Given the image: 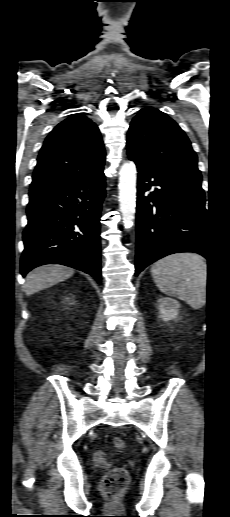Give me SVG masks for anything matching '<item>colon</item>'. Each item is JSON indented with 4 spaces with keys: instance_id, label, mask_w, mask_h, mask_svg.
Wrapping results in <instances>:
<instances>
[{
    "instance_id": "5ec220e1",
    "label": "colon",
    "mask_w": 230,
    "mask_h": 517,
    "mask_svg": "<svg viewBox=\"0 0 230 517\" xmlns=\"http://www.w3.org/2000/svg\"><path fill=\"white\" fill-rule=\"evenodd\" d=\"M113 446L118 450H123L126 443L122 438L113 439ZM129 481L128 473L122 468H115L109 471L102 480V490L110 500H117Z\"/></svg>"
}]
</instances>
